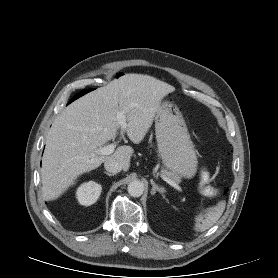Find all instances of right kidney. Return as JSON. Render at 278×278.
I'll use <instances>...</instances> for the list:
<instances>
[{"label":"right kidney","instance_id":"obj_1","mask_svg":"<svg viewBox=\"0 0 278 278\" xmlns=\"http://www.w3.org/2000/svg\"><path fill=\"white\" fill-rule=\"evenodd\" d=\"M102 186L89 181L81 184L76 190V198L81 205L89 206L94 204L101 194Z\"/></svg>","mask_w":278,"mask_h":278}]
</instances>
